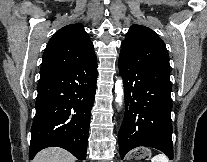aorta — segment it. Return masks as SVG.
Returning a JSON list of instances; mask_svg holds the SVG:
<instances>
[{
    "mask_svg": "<svg viewBox=\"0 0 207 162\" xmlns=\"http://www.w3.org/2000/svg\"><path fill=\"white\" fill-rule=\"evenodd\" d=\"M116 102L121 105L123 101V82L118 79L115 83Z\"/></svg>",
    "mask_w": 207,
    "mask_h": 162,
    "instance_id": "762f6f07",
    "label": "aorta"
}]
</instances>
